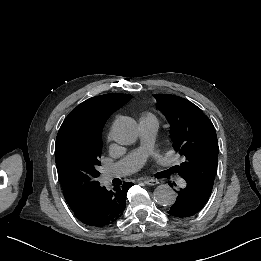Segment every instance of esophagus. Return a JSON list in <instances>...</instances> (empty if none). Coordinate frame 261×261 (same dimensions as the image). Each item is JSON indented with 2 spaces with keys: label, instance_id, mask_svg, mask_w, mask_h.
I'll list each match as a JSON object with an SVG mask.
<instances>
[{
  "label": "esophagus",
  "instance_id": "34e87169",
  "mask_svg": "<svg viewBox=\"0 0 261 261\" xmlns=\"http://www.w3.org/2000/svg\"><path fill=\"white\" fill-rule=\"evenodd\" d=\"M144 183H145L146 185H157V184H159V181L156 180V179H146V180L144 181Z\"/></svg>",
  "mask_w": 261,
  "mask_h": 261
}]
</instances>
